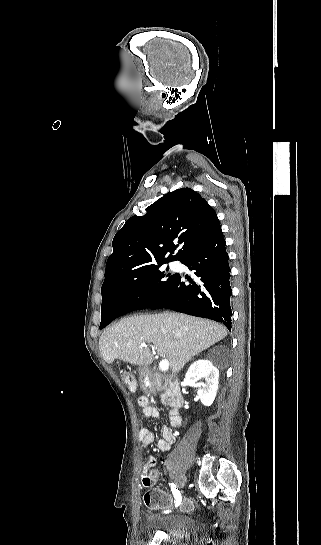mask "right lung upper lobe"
<instances>
[{
    "label": "right lung upper lobe",
    "instance_id": "obj_1",
    "mask_svg": "<svg viewBox=\"0 0 321 545\" xmlns=\"http://www.w3.org/2000/svg\"><path fill=\"white\" fill-rule=\"evenodd\" d=\"M218 227L216 212L194 190L181 188L163 196L116 233L102 289L116 287L132 273L184 260Z\"/></svg>",
    "mask_w": 321,
    "mask_h": 545
}]
</instances>
